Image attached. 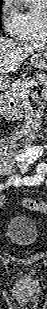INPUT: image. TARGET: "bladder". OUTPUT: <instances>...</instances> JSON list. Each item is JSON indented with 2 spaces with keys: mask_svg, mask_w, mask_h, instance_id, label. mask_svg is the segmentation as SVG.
I'll list each match as a JSON object with an SVG mask.
<instances>
[{
  "mask_svg": "<svg viewBox=\"0 0 47 309\" xmlns=\"http://www.w3.org/2000/svg\"><path fill=\"white\" fill-rule=\"evenodd\" d=\"M39 234L36 222L26 215H15L7 224V239L19 247L32 246L37 242Z\"/></svg>",
  "mask_w": 47,
  "mask_h": 309,
  "instance_id": "1",
  "label": "bladder"
}]
</instances>
